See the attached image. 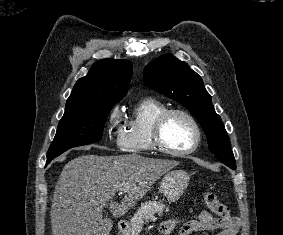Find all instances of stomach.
Returning <instances> with one entry per match:
<instances>
[{
  "instance_id": "0dacf381",
  "label": "stomach",
  "mask_w": 283,
  "mask_h": 235,
  "mask_svg": "<svg viewBox=\"0 0 283 235\" xmlns=\"http://www.w3.org/2000/svg\"><path fill=\"white\" fill-rule=\"evenodd\" d=\"M190 176L184 170H171L164 174L160 182V192L170 202L177 201L184 193L189 184ZM122 235H134L133 227L128 224L126 228L121 229Z\"/></svg>"
}]
</instances>
